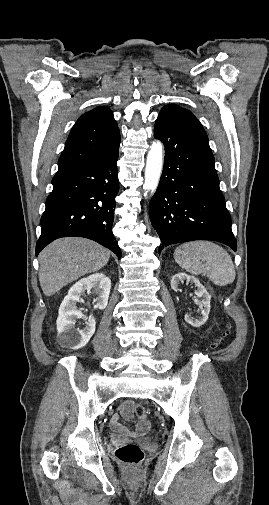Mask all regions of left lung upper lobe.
<instances>
[{
	"label": "left lung upper lobe",
	"mask_w": 269,
	"mask_h": 505,
	"mask_svg": "<svg viewBox=\"0 0 269 505\" xmlns=\"http://www.w3.org/2000/svg\"><path fill=\"white\" fill-rule=\"evenodd\" d=\"M190 115L195 117L190 111L180 108L176 105H167L162 108L159 116Z\"/></svg>",
	"instance_id": "5c2ea615"
}]
</instances>
